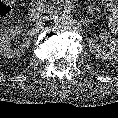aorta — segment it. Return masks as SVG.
Here are the masks:
<instances>
[{
    "mask_svg": "<svg viewBox=\"0 0 118 118\" xmlns=\"http://www.w3.org/2000/svg\"><path fill=\"white\" fill-rule=\"evenodd\" d=\"M54 23L58 27L72 29L75 26H77L78 21L74 18V16L71 13L64 12L54 17Z\"/></svg>",
    "mask_w": 118,
    "mask_h": 118,
    "instance_id": "762f6f07",
    "label": "aorta"
}]
</instances>
